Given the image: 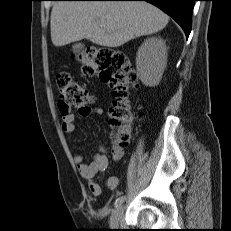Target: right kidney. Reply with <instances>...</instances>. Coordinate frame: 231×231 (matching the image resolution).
Here are the masks:
<instances>
[{
    "instance_id": "1",
    "label": "right kidney",
    "mask_w": 231,
    "mask_h": 231,
    "mask_svg": "<svg viewBox=\"0 0 231 231\" xmlns=\"http://www.w3.org/2000/svg\"><path fill=\"white\" fill-rule=\"evenodd\" d=\"M167 51L161 38L151 37L139 47L136 56L137 74L146 86L157 85L166 67Z\"/></svg>"
}]
</instances>
